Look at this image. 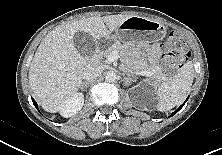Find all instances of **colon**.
Returning a JSON list of instances; mask_svg holds the SVG:
<instances>
[{
    "label": "colon",
    "instance_id": "obj_1",
    "mask_svg": "<svg viewBox=\"0 0 222 155\" xmlns=\"http://www.w3.org/2000/svg\"><path fill=\"white\" fill-rule=\"evenodd\" d=\"M163 69L171 74L185 64L190 57L185 41L177 34L170 35L164 43Z\"/></svg>",
    "mask_w": 222,
    "mask_h": 155
}]
</instances>
